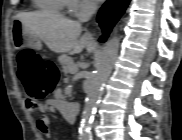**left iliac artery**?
Listing matches in <instances>:
<instances>
[{
    "label": "left iliac artery",
    "instance_id": "1",
    "mask_svg": "<svg viewBox=\"0 0 182 140\" xmlns=\"http://www.w3.org/2000/svg\"><path fill=\"white\" fill-rule=\"evenodd\" d=\"M88 140H92V137H89Z\"/></svg>",
    "mask_w": 182,
    "mask_h": 140
}]
</instances>
